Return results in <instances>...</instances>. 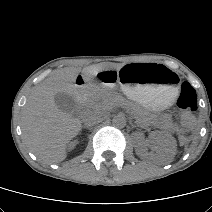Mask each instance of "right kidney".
I'll use <instances>...</instances> for the list:
<instances>
[{
	"label": "right kidney",
	"mask_w": 212,
	"mask_h": 212,
	"mask_svg": "<svg viewBox=\"0 0 212 212\" xmlns=\"http://www.w3.org/2000/svg\"><path fill=\"white\" fill-rule=\"evenodd\" d=\"M78 143V141H74L70 144V149L74 148L76 146V144Z\"/></svg>",
	"instance_id": "obj_1"
}]
</instances>
